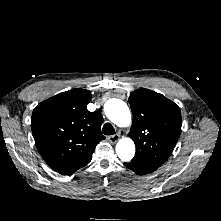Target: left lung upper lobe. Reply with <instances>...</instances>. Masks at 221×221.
I'll return each mask as SVG.
<instances>
[{
	"instance_id": "obj_1",
	"label": "left lung upper lobe",
	"mask_w": 221,
	"mask_h": 221,
	"mask_svg": "<svg viewBox=\"0 0 221 221\" xmlns=\"http://www.w3.org/2000/svg\"><path fill=\"white\" fill-rule=\"evenodd\" d=\"M129 102L133 113L129 137L136 146L133 159L163 164L172 154L181 133L179 107L162 94L148 89L132 92Z\"/></svg>"
}]
</instances>
